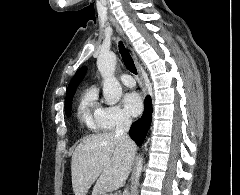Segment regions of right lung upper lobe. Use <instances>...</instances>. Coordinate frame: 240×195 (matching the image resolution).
Returning a JSON list of instances; mask_svg holds the SVG:
<instances>
[{"mask_svg": "<svg viewBox=\"0 0 240 195\" xmlns=\"http://www.w3.org/2000/svg\"><path fill=\"white\" fill-rule=\"evenodd\" d=\"M86 70L87 68L86 67H82L80 68L76 74L74 75V77L72 78L69 86H68V89H67V94H66V104H65V107L69 104V103H72V98H73V95L75 93V90L77 88V86L80 84V82L83 80L85 74H86Z\"/></svg>", "mask_w": 240, "mask_h": 195, "instance_id": "obj_1", "label": "right lung upper lobe"}]
</instances>
